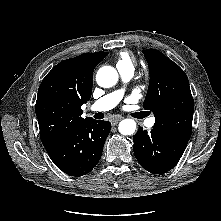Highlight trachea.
Wrapping results in <instances>:
<instances>
[{
    "label": "trachea",
    "mask_w": 221,
    "mask_h": 221,
    "mask_svg": "<svg viewBox=\"0 0 221 221\" xmlns=\"http://www.w3.org/2000/svg\"><path fill=\"white\" fill-rule=\"evenodd\" d=\"M95 118H96V119H103V118H104V114L101 113V112L96 113V114H95Z\"/></svg>",
    "instance_id": "1"
}]
</instances>
